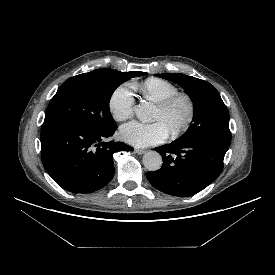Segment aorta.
Returning <instances> with one entry per match:
<instances>
[{"instance_id":"1","label":"aorta","mask_w":275,"mask_h":275,"mask_svg":"<svg viewBox=\"0 0 275 275\" xmlns=\"http://www.w3.org/2000/svg\"><path fill=\"white\" fill-rule=\"evenodd\" d=\"M135 113L140 121H148L154 113V107L150 103H140L135 106ZM162 157L156 151H149L143 156V164L149 171H157L162 166Z\"/></svg>"}]
</instances>
